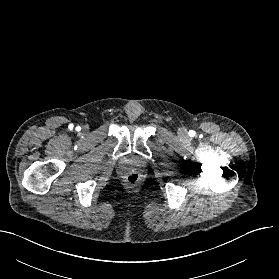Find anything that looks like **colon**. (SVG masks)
I'll list each match as a JSON object with an SVG mask.
<instances>
[{
	"instance_id": "obj_1",
	"label": "colon",
	"mask_w": 279,
	"mask_h": 279,
	"mask_svg": "<svg viewBox=\"0 0 279 279\" xmlns=\"http://www.w3.org/2000/svg\"><path fill=\"white\" fill-rule=\"evenodd\" d=\"M139 181V175L136 173H130L127 177H126V182L131 185L134 186L135 184H137Z\"/></svg>"
}]
</instances>
